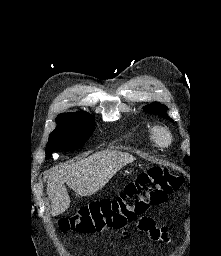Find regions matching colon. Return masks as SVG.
Listing matches in <instances>:
<instances>
[{"mask_svg":"<svg viewBox=\"0 0 221 256\" xmlns=\"http://www.w3.org/2000/svg\"><path fill=\"white\" fill-rule=\"evenodd\" d=\"M181 185V177L165 168L151 167L129 182L115 197L91 202L61 219L60 231L95 233L125 228L142 217L151 206L162 204Z\"/></svg>","mask_w":221,"mask_h":256,"instance_id":"1","label":"colon"}]
</instances>
